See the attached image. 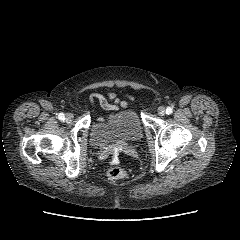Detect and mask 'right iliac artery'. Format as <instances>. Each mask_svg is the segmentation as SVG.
Returning <instances> with one entry per match:
<instances>
[{"label":"right iliac artery","mask_w":240,"mask_h":240,"mask_svg":"<svg viewBox=\"0 0 240 240\" xmlns=\"http://www.w3.org/2000/svg\"><path fill=\"white\" fill-rule=\"evenodd\" d=\"M58 119H59L60 121H64V120H65V115H64L63 113H60V114L58 115Z\"/></svg>","instance_id":"obj_1"}]
</instances>
